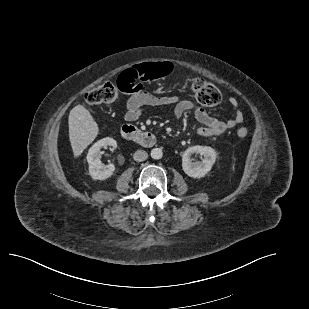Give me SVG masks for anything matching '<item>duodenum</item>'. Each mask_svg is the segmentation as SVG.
I'll list each match as a JSON object with an SVG mask.
<instances>
[{
    "label": "duodenum",
    "mask_w": 309,
    "mask_h": 309,
    "mask_svg": "<svg viewBox=\"0 0 309 309\" xmlns=\"http://www.w3.org/2000/svg\"><path fill=\"white\" fill-rule=\"evenodd\" d=\"M121 136L126 141L135 142L143 147H152L156 143V136L150 131L141 130L133 125H124Z\"/></svg>",
    "instance_id": "obj_1"
}]
</instances>
